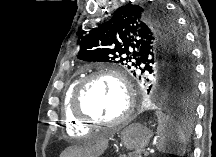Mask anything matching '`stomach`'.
<instances>
[{
  "instance_id": "0dacf381",
  "label": "stomach",
  "mask_w": 216,
  "mask_h": 157,
  "mask_svg": "<svg viewBox=\"0 0 216 157\" xmlns=\"http://www.w3.org/2000/svg\"><path fill=\"white\" fill-rule=\"evenodd\" d=\"M121 138L128 149L141 150L148 145L151 138V132L146 127L134 123L123 129Z\"/></svg>"
}]
</instances>
